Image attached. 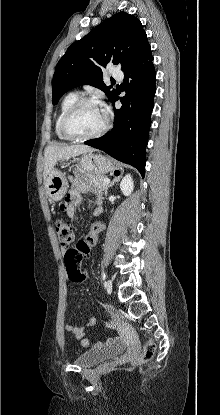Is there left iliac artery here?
Wrapping results in <instances>:
<instances>
[{"instance_id":"obj_1","label":"left iliac artery","mask_w":220,"mask_h":415,"mask_svg":"<svg viewBox=\"0 0 220 415\" xmlns=\"http://www.w3.org/2000/svg\"><path fill=\"white\" fill-rule=\"evenodd\" d=\"M106 279V274L105 272L102 273V280L104 281Z\"/></svg>"}]
</instances>
